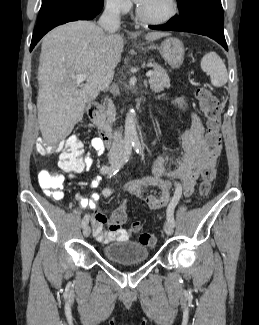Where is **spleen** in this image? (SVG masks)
Segmentation results:
<instances>
[{
    "mask_svg": "<svg viewBox=\"0 0 259 325\" xmlns=\"http://www.w3.org/2000/svg\"><path fill=\"white\" fill-rule=\"evenodd\" d=\"M201 69L210 76L215 87H222L228 81V73L222 59L215 52L206 53L201 59Z\"/></svg>",
    "mask_w": 259,
    "mask_h": 325,
    "instance_id": "3e777b00",
    "label": "spleen"
}]
</instances>
